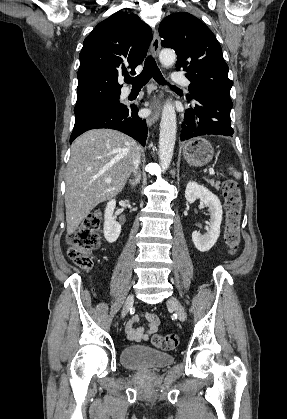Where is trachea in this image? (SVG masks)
<instances>
[{
    "mask_svg": "<svg viewBox=\"0 0 287 419\" xmlns=\"http://www.w3.org/2000/svg\"><path fill=\"white\" fill-rule=\"evenodd\" d=\"M151 77H153L161 85L168 84L157 67L154 58L152 56H148L145 60L142 72L134 78L126 77L125 82L132 84L133 88H142L148 83Z\"/></svg>",
    "mask_w": 287,
    "mask_h": 419,
    "instance_id": "obj_1",
    "label": "trachea"
}]
</instances>
